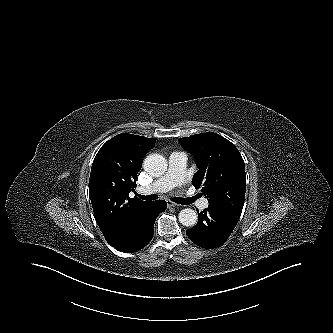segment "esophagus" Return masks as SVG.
<instances>
[{
	"mask_svg": "<svg viewBox=\"0 0 333 333\" xmlns=\"http://www.w3.org/2000/svg\"><path fill=\"white\" fill-rule=\"evenodd\" d=\"M167 206L171 208V207H177L178 205L170 200H167Z\"/></svg>",
	"mask_w": 333,
	"mask_h": 333,
	"instance_id": "esophagus-1",
	"label": "esophagus"
}]
</instances>
